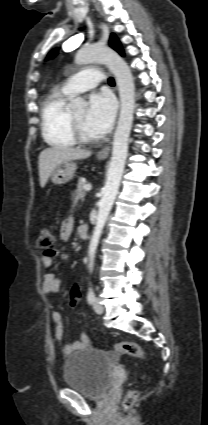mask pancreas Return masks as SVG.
I'll return each instance as SVG.
<instances>
[{"label":"pancreas","mask_w":208,"mask_h":425,"mask_svg":"<svg viewBox=\"0 0 208 425\" xmlns=\"http://www.w3.org/2000/svg\"><path fill=\"white\" fill-rule=\"evenodd\" d=\"M86 185V181L83 179H79L77 190L75 191V200H74V206L78 205L80 202H82L86 196V192L84 190V186Z\"/></svg>","instance_id":"1"}]
</instances>
